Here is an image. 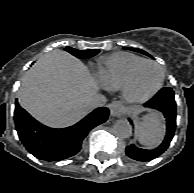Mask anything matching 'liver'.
<instances>
[{
	"instance_id": "1",
	"label": "liver",
	"mask_w": 194,
	"mask_h": 193,
	"mask_svg": "<svg viewBox=\"0 0 194 193\" xmlns=\"http://www.w3.org/2000/svg\"><path fill=\"white\" fill-rule=\"evenodd\" d=\"M98 86L87 67L70 54L55 50L40 58L25 74L19 103L41 123L63 128L75 124L91 109L87 102Z\"/></svg>"
}]
</instances>
